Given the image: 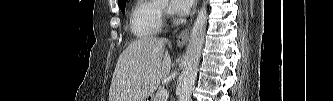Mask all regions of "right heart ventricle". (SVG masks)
I'll return each mask as SVG.
<instances>
[{"instance_id":"1","label":"right heart ventricle","mask_w":333,"mask_h":101,"mask_svg":"<svg viewBox=\"0 0 333 101\" xmlns=\"http://www.w3.org/2000/svg\"><path fill=\"white\" fill-rule=\"evenodd\" d=\"M129 26L137 39L156 36L162 27L160 2L139 0L130 14Z\"/></svg>"}]
</instances>
